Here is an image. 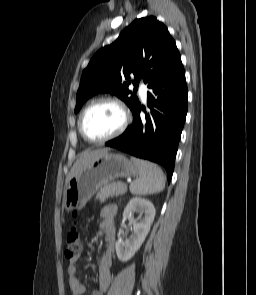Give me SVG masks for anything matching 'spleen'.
Masks as SVG:
<instances>
[{
  "label": "spleen",
  "instance_id": "spleen-1",
  "mask_svg": "<svg viewBox=\"0 0 256 295\" xmlns=\"http://www.w3.org/2000/svg\"><path fill=\"white\" fill-rule=\"evenodd\" d=\"M138 167L139 177L130 184V192L135 195H148L161 192L165 187L162 169L149 161L131 158Z\"/></svg>",
  "mask_w": 256,
  "mask_h": 295
}]
</instances>
